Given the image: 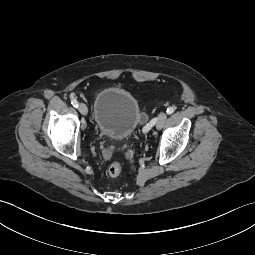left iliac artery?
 I'll use <instances>...</instances> for the list:
<instances>
[{
	"instance_id": "1",
	"label": "left iliac artery",
	"mask_w": 255,
	"mask_h": 255,
	"mask_svg": "<svg viewBox=\"0 0 255 255\" xmlns=\"http://www.w3.org/2000/svg\"><path fill=\"white\" fill-rule=\"evenodd\" d=\"M174 112V107H168L167 110H166V113L169 115V114H172ZM156 124V120L155 118L153 120H151L143 129V134H146V132H148L151 127H153V125Z\"/></svg>"
}]
</instances>
